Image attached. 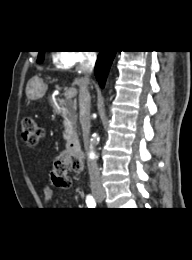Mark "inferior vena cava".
<instances>
[{"label":"inferior vena cava","mask_w":192,"mask_h":260,"mask_svg":"<svg viewBox=\"0 0 192 260\" xmlns=\"http://www.w3.org/2000/svg\"><path fill=\"white\" fill-rule=\"evenodd\" d=\"M97 55L94 51H88L85 54L83 61L79 64L78 70L83 75L79 79V107H80V123L82 126L83 139L86 141L90 134L91 119V97L88 91L89 75L92 73ZM90 182L92 188H102V180L100 171L96 161L90 165Z\"/></svg>","instance_id":"1"}]
</instances>
